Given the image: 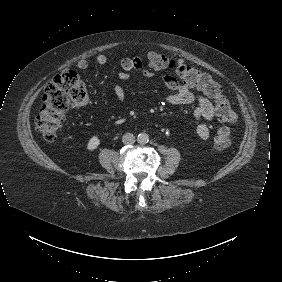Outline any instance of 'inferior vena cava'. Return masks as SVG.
Here are the masks:
<instances>
[{"instance_id":"inferior-vena-cava-1","label":"inferior vena cava","mask_w":282,"mask_h":282,"mask_svg":"<svg viewBox=\"0 0 282 282\" xmlns=\"http://www.w3.org/2000/svg\"><path fill=\"white\" fill-rule=\"evenodd\" d=\"M122 143L124 145H133L135 143V136L132 133H125L122 136Z\"/></svg>"}]
</instances>
